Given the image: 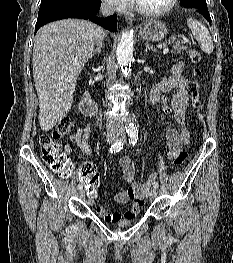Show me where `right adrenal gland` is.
<instances>
[{"label": "right adrenal gland", "instance_id": "1", "mask_svg": "<svg viewBox=\"0 0 233 263\" xmlns=\"http://www.w3.org/2000/svg\"><path fill=\"white\" fill-rule=\"evenodd\" d=\"M101 48H102V44L100 43L98 47L91 53L90 58L92 59L97 53L101 54Z\"/></svg>", "mask_w": 233, "mask_h": 263}]
</instances>
